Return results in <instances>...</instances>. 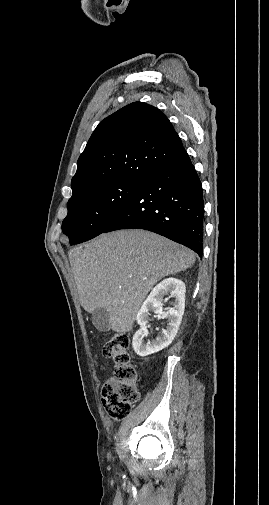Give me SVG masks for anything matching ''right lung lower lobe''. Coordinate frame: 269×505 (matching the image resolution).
Returning <instances> with one entry per match:
<instances>
[{
  "label": "right lung lower lobe",
  "mask_w": 269,
  "mask_h": 505,
  "mask_svg": "<svg viewBox=\"0 0 269 505\" xmlns=\"http://www.w3.org/2000/svg\"><path fill=\"white\" fill-rule=\"evenodd\" d=\"M135 228L203 255V189L186 152L150 173L103 233Z\"/></svg>",
  "instance_id": "obj_1"
}]
</instances>
